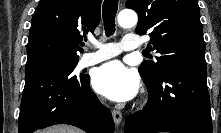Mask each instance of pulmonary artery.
Wrapping results in <instances>:
<instances>
[{"instance_id": "e3ab8cb5", "label": "pulmonary artery", "mask_w": 221, "mask_h": 133, "mask_svg": "<svg viewBox=\"0 0 221 133\" xmlns=\"http://www.w3.org/2000/svg\"><path fill=\"white\" fill-rule=\"evenodd\" d=\"M92 45L94 46L95 51L83 54L78 63L79 68L95 65L117 56L122 51H136L141 48V42L135 34H126L121 44L116 42L102 43L93 41Z\"/></svg>"}]
</instances>
